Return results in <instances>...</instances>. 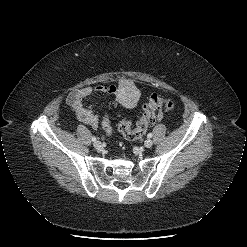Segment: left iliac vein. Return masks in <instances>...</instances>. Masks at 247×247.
Here are the masks:
<instances>
[{
  "label": "left iliac vein",
  "instance_id": "1",
  "mask_svg": "<svg viewBox=\"0 0 247 247\" xmlns=\"http://www.w3.org/2000/svg\"><path fill=\"white\" fill-rule=\"evenodd\" d=\"M152 145H153V141H152L151 139H147V140L144 142V146H145L146 148H150V147H152Z\"/></svg>",
  "mask_w": 247,
  "mask_h": 247
}]
</instances>
